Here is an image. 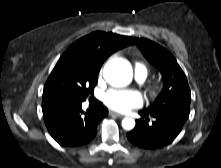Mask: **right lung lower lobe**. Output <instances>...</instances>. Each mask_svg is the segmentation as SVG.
Wrapping results in <instances>:
<instances>
[{
    "mask_svg": "<svg viewBox=\"0 0 221 168\" xmlns=\"http://www.w3.org/2000/svg\"><path fill=\"white\" fill-rule=\"evenodd\" d=\"M83 101L62 96L43 97L46 127L59 144L69 147L87 144L96 136L101 119L108 115V109L99 101L84 112Z\"/></svg>",
    "mask_w": 221,
    "mask_h": 168,
    "instance_id": "98d812e1",
    "label": "right lung lower lobe"
}]
</instances>
